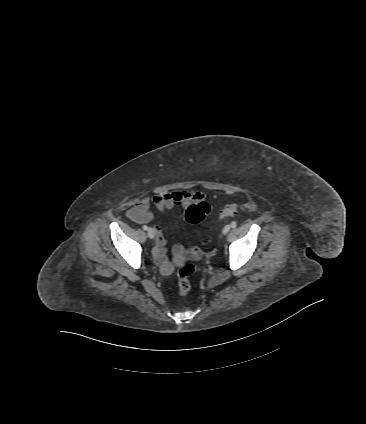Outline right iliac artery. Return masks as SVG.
Returning a JSON list of instances; mask_svg holds the SVG:
<instances>
[{"instance_id":"right-iliac-artery-1","label":"right iliac artery","mask_w":366,"mask_h":424,"mask_svg":"<svg viewBox=\"0 0 366 424\" xmlns=\"http://www.w3.org/2000/svg\"><path fill=\"white\" fill-rule=\"evenodd\" d=\"M144 230H148V227L146 225L143 226Z\"/></svg>"}]
</instances>
